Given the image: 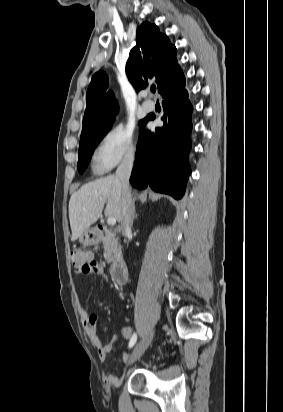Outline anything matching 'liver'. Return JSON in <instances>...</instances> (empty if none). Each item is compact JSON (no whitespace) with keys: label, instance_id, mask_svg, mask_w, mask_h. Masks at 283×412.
<instances>
[{"label":"liver","instance_id":"obj_1","mask_svg":"<svg viewBox=\"0 0 283 412\" xmlns=\"http://www.w3.org/2000/svg\"><path fill=\"white\" fill-rule=\"evenodd\" d=\"M121 198L122 186L114 175L87 183L74 192L69 201L71 240H77L99 219L105 203V216L121 222Z\"/></svg>","mask_w":283,"mask_h":412}]
</instances>
